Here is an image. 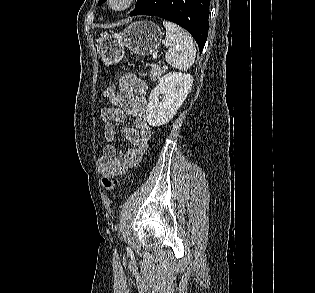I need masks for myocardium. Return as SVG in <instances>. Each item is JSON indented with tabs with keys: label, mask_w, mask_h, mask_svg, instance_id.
Masks as SVG:
<instances>
[{
	"label": "myocardium",
	"mask_w": 315,
	"mask_h": 293,
	"mask_svg": "<svg viewBox=\"0 0 315 293\" xmlns=\"http://www.w3.org/2000/svg\"><path fill=\"white\" fill-rule=\"evenodd\" d=\"M120 2V5L115 6V3ZM137 0H106V7L112 13H123L131 9Z\"/></svg>",
	"instance_id": "obj_1"
}]
</instances>
